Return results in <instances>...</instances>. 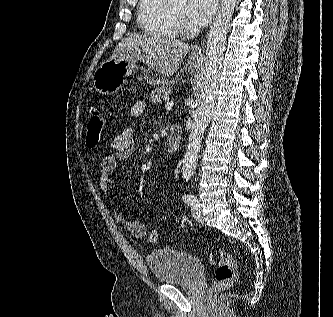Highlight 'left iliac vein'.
Wrapping results in <instances>:
<instances>
[{"instance_id":"obj_1","label":"left iliac vein","mask_w":333,"mask_h":317,"mask_svg":"<svg viewBox=\"0 0 333 317\" xmlns=\"http://www.w3.org/2000/svg\"><path fill=\"white\" fill-rule=\"evenodd\" d=\"M192 215L197 222L203 223L205 221L200 201H198L197 205L192 208Z\"/></svg>"}]
</instances>
